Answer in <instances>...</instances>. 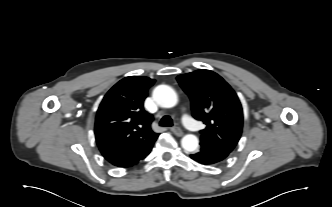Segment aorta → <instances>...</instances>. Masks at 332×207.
<instances>
[{
    "mask_svg": "<svg viewBox=\"0 0 332 207\" xmlns=\"http://www.w3.org/2000/svg\"><path fill=\"white\" fill-rule=\"evenodd\" d=\"M153 98L156 103L164 108H171L177 104L176 92L168 85H159L153 91ZM183 149L187 152H194L199 145L198 138L193 134L185 135L181 140Z\"/></svg>",
    "mask_w": 332,
    "mask_h": 207,
    "instance_id": "762f6f07",
    "label": "aorta"
}]
</instances>
